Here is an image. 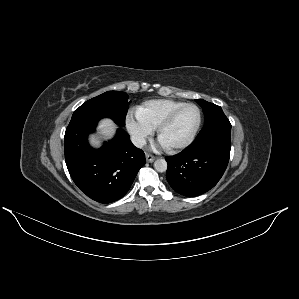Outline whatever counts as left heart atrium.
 I'll use <instances>...</instances> for the list:
<instances>
[{
    "label": "left heart atrium",
    "mask_w": 299,
    "mask_h": 299,
    "mask_svg": "<svg viewBox=\"0 0 299 299\" xmlns=\"http://www.w3.org/2000/svg\"><path fill=\"white\" fill-rule=\"evenodd\" d=\"M160 144H161L162 146H166L161 140H160Z\"/></svg>",
    "instance_id": "obj_1"
}]
</instances>
